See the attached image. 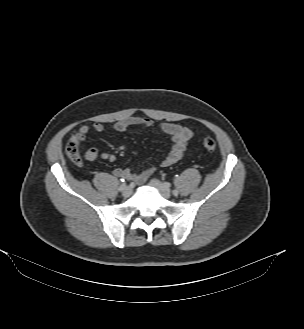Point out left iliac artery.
Returning a JSON list of instances; mask_svg holds the SVG:
<instances>
[{"mask_svg":"<svg viewBox=\"0 0 304 329\" xmlns=\"http://www.w3.org/2000/svg\"><path fill=\"white\" fill-rule=\"evenodd\" d=\"M173 193H174V195H178V191L177 190H173Z\"/></svg>","mask_w":304,"mask_h":329,"instance_id":"1","label":"left iliac artery"}]
</instances>
